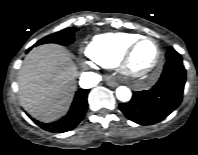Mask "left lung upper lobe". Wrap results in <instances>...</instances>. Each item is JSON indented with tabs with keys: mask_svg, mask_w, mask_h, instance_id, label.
<instances>
[{
	"mask_svg": "<svg viewBox=\"0 0 198 155\" xmlns=\"http://www.w3.org/2000/svg\"><path fill=\"white\" fill-rule=\"evenodd\" d=\"M167 61L179 60L182 61L180 54L173 49V47H169L166 53Z\"/></svg>",
	"mask_w": 198,
	"mask_h": 155,
	"instance_id": "1",
	"label": "left lung upper lobe"
}]
</instances>
